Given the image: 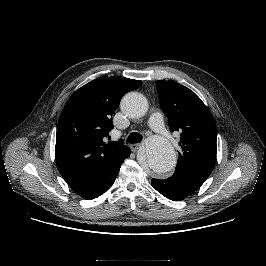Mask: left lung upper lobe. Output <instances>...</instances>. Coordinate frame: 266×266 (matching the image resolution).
I'll return each instance as SVG.
<instances>
[{"label": "left lung upper lobe", "instance_id": "5c2ea615", "mask_svg": "<svg viewBox=\"0 0 266 266\" xmlns=\"http://www.w3.org/2000/svg\"><path fill=\"white\" fill-rule=\"evenodd\" d=\"M159 102L170 131L181 132V152L175 172L204 183L216 162V124L209 109L189 88L175 82H156Z\"/></svg>", "mask_w": 266, "mask_h": 266}]
</instances>
